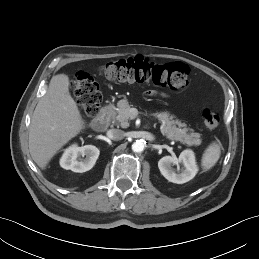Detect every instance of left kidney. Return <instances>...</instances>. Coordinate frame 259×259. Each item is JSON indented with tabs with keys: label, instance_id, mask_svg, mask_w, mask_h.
Listing matches in <instances>:
<instances>
[{
	"label": "left kidney",
	"instance_id": "obj_1",
	"mask_svg": "<svg viewBox=\"0 0 259 259\" xmlns=\"http://www.w3.org/2000/svg\"><path fill=\"white\" fill-rule=\"evenodd\" d=\"M182 164L183 167L177 168V172L172 167L173 165ZM158 168L161 174L170 182L183 184L195 177L198 172L194 152L186 149L181 152L179 158L165 156L158 162Z\"/></svg>",
	"mask_w": 259,
	"mask_h": 259
}]
</instances>
